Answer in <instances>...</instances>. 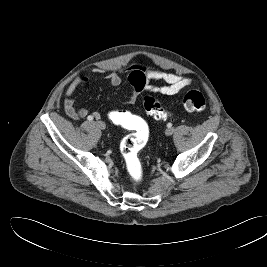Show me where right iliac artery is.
<instances>
[{
    "label": "right iliac artery",
    "mask_w": 267,
    "mask_h": 267,
    "mask_svg": "<svg viewBox=\"0 0 267 267\" xmlns=\"http://www.w3.org/2000/svg\"><path fill=\"white\" fill-rule=\"evenodd\" d=\"M87 119H88L89 121H92L94 118H93L92 116H89Z\"/></svg>",
    "instance_id": "82829eb1"
}]
</instances>
